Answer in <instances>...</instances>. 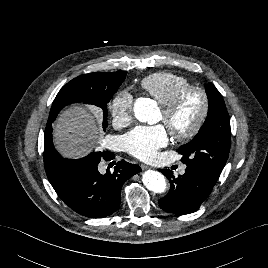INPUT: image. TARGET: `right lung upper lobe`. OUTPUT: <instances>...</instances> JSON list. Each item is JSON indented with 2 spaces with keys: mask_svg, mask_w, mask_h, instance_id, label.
Returning <instances> with one entry per match:
<instances>
[{
  "mask_svg": "<svg viewBox=\"0 0 268 268\" xmlns=\"http://www.w3.org/2000/svg\"><path fill=\"white\" fill-rule=\"evenodd\" d=\"M126 71L110 73H89L78 76L68 82L57 94L56 99L61 102L50 111L45 128V150L53 151L52 147V125L59 111L71 103H85L102 99L108 96L112 90L123 82Z\"/></svg>",
  "mask_w": 268,
  "mask_h": 268,
  "instance_id": "obj_1",
  "label": "right lung upper lobe"
}]
</instances>
